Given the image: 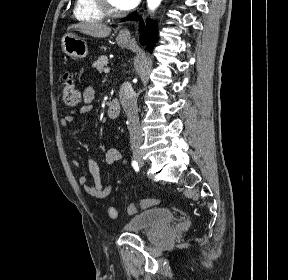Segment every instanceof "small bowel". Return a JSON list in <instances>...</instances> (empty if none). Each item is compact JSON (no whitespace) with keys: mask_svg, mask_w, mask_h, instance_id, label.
Wrapping results in <instances>:
<instances>
[{"mask_svg":"<svg viewBox=\"0 0 288 280\" xmlns=\"http://www.w3.org/2000/svg\"><path fill=\"white\" fill-rule=\"evenodd\" d=\"M93 98H94V90L91 87L86 88L82 94L83 104L79 108V115H86L92 110L91 102ZM74 119L75 117L73 115H67L61 119V125L67 127L73 123ZM115 139L119 140V136L116 135ZM122 159H123L122 150L119 148H111L106 152L105 161L108 164H113L115 162L122 161ZM73 164L75 166H79V162L77 160H74ZM87 166L89 173L93 179V185L88 184V178L86 176H80L78 178L79 185L82 186L84 191L92 197L98 199L106 198L107 196L110 195L112 187L110 185L104 186L102 184L100 168L98 163L94 159L89 158L87 160Z\"/></svg>","mask_w":288,"mask_h":280,"instance_id":"c3829d8e","label":"small bowel"}]
</instances>
